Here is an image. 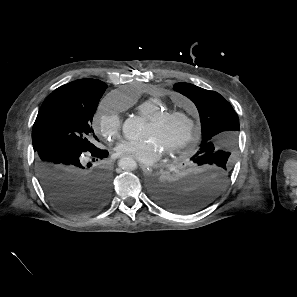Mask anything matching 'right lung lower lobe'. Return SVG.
<instances>
[{"label": "right lung lower lobe", "mask_w": 297, "mask_h": 297, "mask_svg": "<svg viewBox=\"0 0 297 297\" xmlns=\"http://www.w3.org/2000/svg\"><path fill=\"white\" fill-rule=\"evenodd\" d=\"M36 154V171L51 203L67 214L94 213L107 202L111 176L101 165L82 164L83 151L64 144L40 147ZM96 159L108 152L97 148L90 152ZM94 160V159H93Z\"/></svg>", "instance_id": "obj_1"}]
</instances>
